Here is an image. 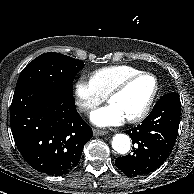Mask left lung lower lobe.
<instances>
[{"mask_svg":"<svg viewBox=\"0 0 194 194\" xmlns=\"http://www.w3.org/2000/svg\"><path fill=\"white\" fill-rule=\"evenodd\" d=\"M180 115L179 94L163 95L140 125L125 131L135 147L132 154L116 159L118 169L125 175L139 176L159 168L173 150Z\"/></svg>","mask_w":194,"mask_h":194,"instance_id":"1","label":"left lung lower lobe"}]
</instances>
